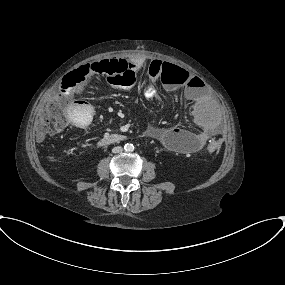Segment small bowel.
Segmentation results:
<instances>
[{
	"instance_id": "1",
	"label": "small bowel",
	"mask_w": 285,
	"mask_h": 285,
	"mask_svg": "<svg viewBox=\"0 0 285 285\" xmlns=\"http://www.w3.org/2000/svg\"><path fill=\"white\" fill-rule=\"evenodd\" d=\"M133 68H139L143 64L142 59H135L129 62ZM164 67V63L158 59L149 62L150 79H156ZM89 87V82L77 84L73 89L72 97L67 101V112L71 123L79 126L81 119H90L89 105L80 100ZM170 92L183 91L190 102V119L198 127L197 132H191L179 127H166L160 130H153L151 136L159 141L164 147L176 150L182 154L194 153L206 146V144L219 137L215 123L205 114V103L200 97L201 87L198 78L186 73L183 79H170L166 85ZM69 91V90H68ZM146 98H155L156 92L151 86L145 89Z\"/></svg>"
}]
</instances>
